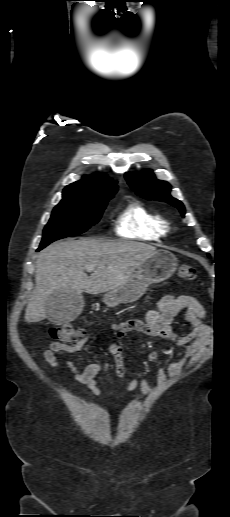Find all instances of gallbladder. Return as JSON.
I'll list each match as a JSON object with an SVG mask.
<instances>
[{
  "label": "gallbladder",
  "instance_id": "gallbladder-1",
  "mask_svg": "<svg viewBox=\"0 0 230 517\" xmlns=\"http://www.w3.org/2000/svg\"><path fill=\"white\" fill-rule=\"evenodd\" d=\"M84 306L81 294L62 289L55 291L46 301L47 318L55 324H62L76 319Z\"/></svg>",
  "mask_w": 230,
  "mask_h": 517
}]
</instances>
